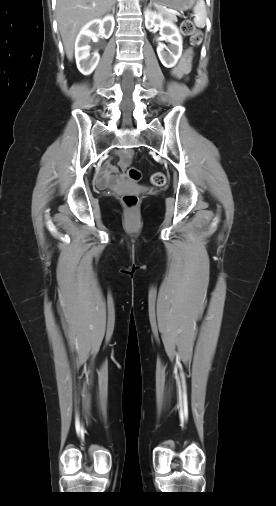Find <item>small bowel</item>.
Here are the masks:
<instances>
[{
    "label": "small bowel",
    "instance_id": "c3829d8e",
    "mask_svg": "<svg viewBox=\"0 0 276 506\" xmlns=\"http://www.w3.org/2000/svg\"><path fill=\"white\" fill-rule=\"evenodd\" d=\"M191 66V51L188 50L181 58L179 64L173 68L172 74L176 76L177 78H181L184 75H186ZM134 154V151L132 149H125L121 150L118 154L119 156V167L122 170H126L127 167L130 164L131 158ZM118 169L116 166H114L111 163L106 164V170L99 173V175L96 178V186L99 189H105L108 187H115L117 186L120 181L123 179V175H120L118 177H112L111 174H117Z\"/></svg>",
    "mask_w": 276,
    "mask_h": 506
}]
</instances>
